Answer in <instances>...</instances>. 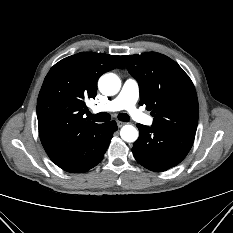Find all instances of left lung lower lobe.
<instances>
[{
	"label": "left lung lower lobe",
	"mask_w": 233,
	"mask_h": 233,
	"mask_svg": "<svg viewBox=\"0 0 233 233\" xmlns=\"http://www.w3.org/2000/svg\"><path fill=\"white\" fill-rule=\"evenodd\" d=\"M139 138L132 152L145 168L162 172L179 164L190 151L195 134L137 124Z\"/></svg>",
	"instance_id": "0a47b994"
}]
</instances>
